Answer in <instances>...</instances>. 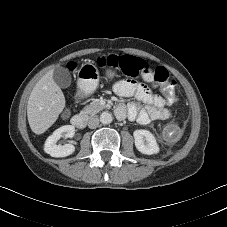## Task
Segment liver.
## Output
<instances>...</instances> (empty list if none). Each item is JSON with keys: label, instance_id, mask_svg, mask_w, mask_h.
<instances>
[{"label": "liver", "instance_id": "obj_1", "mask_svg": "<svg viewBox=\"0 0 227 227\" xmlns=\"http://www.w3.org/2000/svg\"><path fill=\"white\" fill-rule=\"evenodd\" d=\"M48 71L34 86L27 103L29 126L37 135L44 133L58 119L65 107V96Z\"/></svg>", "mask_w": 227, "mask_h": 227}]
</instances>
